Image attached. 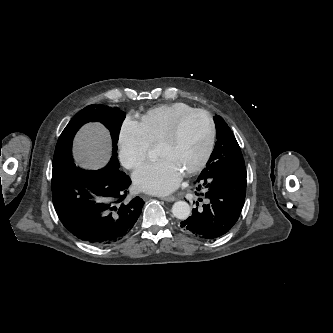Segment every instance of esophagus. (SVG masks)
Listing matches in <instances>:
<instances>
[{
  "mask_svg": "<svg viewBox=\"0 0 333 333\" xmlns=\"http://www.w3.org/2000/svg\"><path fill=\"white\" fill-rule=\"evenodd\" d=\"M148 197L149 196H147V195H142L143 199H147ZM161 199L164 200V201H167V202H173V201L176 200V197L175 196H167V197H162Z\"/></svg>",
  "mask_w": 333,
  "mask_h": 333,
  "instance_id": "obj_1",
  "label": "esophagus"
}]
</instances>
